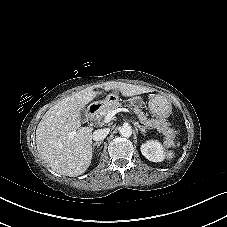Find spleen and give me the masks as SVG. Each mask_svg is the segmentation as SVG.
Segmentation results:
<instances>
[{
    "mask_svg": "<svg viewBox=\"0 0 227 227\" xmlns=\"http://www.w3.org/2000/svg\"><path fill=\"white\" fill-rule=\"evenodd\" d=\"M174 157V153L172 151H167V158L171 159Z\"/></svg>",
    "mask_w": 227,
    "mask_h": 227,
    "instance_id": "spleen-1",
    "label": "spleen"
}]
</instances>
